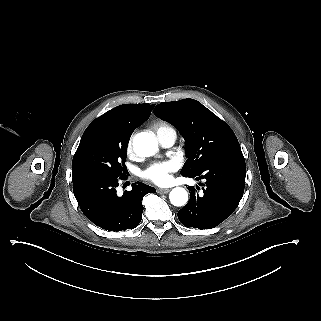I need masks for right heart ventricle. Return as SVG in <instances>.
Here are the masks:
<instances>
[{
	"label": "right heart ventricle",
	"instance_id": "right-heart-ventricle-1",
	"mask_svg": "<svg viewBox=\"0 0 321 321\" xmlns=\"http://www.w3.org/2000/svg\"><path fill=\"white\" fill-rule=\"evenodd\" d=\"M152 124L156 129L158 135L168 130L174 129L167 121L163 119H154L152 121Z\"/></svg>",
	"mask_w": 321,
	"mask_h": 321
}]
</instances>
